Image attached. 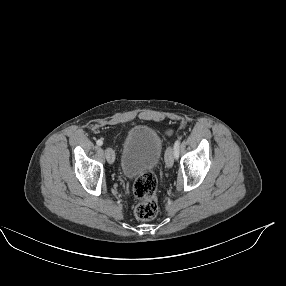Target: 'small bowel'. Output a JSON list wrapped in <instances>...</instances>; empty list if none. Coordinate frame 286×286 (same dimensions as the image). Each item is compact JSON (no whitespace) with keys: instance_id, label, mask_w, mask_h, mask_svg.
I'll return each instance as SVG.
<instances>
[{"instance_id":"1","label":"small bowel","mask_w":286,"mask_h":286,"mask_svg":"<svg viewBox=\"0 0 286 286\" xmlns=\"http://www.w3.org/2000/svg\"><path fill=\"white\" fill-rule=\"evenodd\" d=\"M168 134H169V135H171V134H172V132H169Z\"/></svg>"}]
</instances>
